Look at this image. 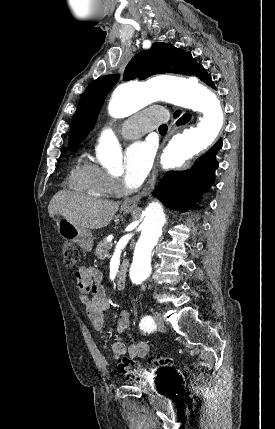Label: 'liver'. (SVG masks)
Masks as SVG:
<instances>
[{"instance_id":"liver-1","label":"liver","mask_w":275,"mask_h":429,"mask_svg":"<svg viewBox=\"0 0 275 429\" xmlns=\"http://www.w3.org/2000/svg\"><path fill=\"white\" fill-rule=\"evenodd\" d=\"M119 208L113 201L82 196L69 190L58 191L51 199L48 212L50 217L60 215L83 229L106 227Z\"/></svg>"}]
</instances>
